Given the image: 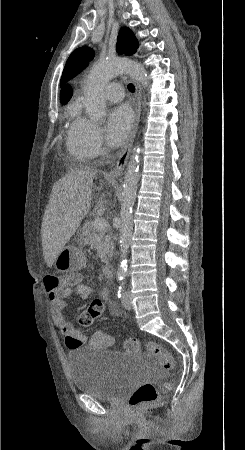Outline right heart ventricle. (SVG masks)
I'll list each match as a JSON object with an SVG mask.
<instances>
[{
	"label": "right heart ventricle",
	"mask_w": 245,
	"mask_h": 450,
	"mask_svg": "<svg viewBox=\"0 0 245 450\" xmlns=\"http://www.w3.org/2000/svg\"><path fill=\"white\" fill-rule=\"evenodd\" d=\"M70 117L72 118V122L70 125V128L68 130V134H67V138H66V146L68 148V150L78 156V157H82L79 153H77V151L75 150V143H76V135H75V123L77 121V119L80 117L78 115L77 109L76 108H72L69 112Z\"/></svg>",
	"instance_id": "e07e8e85"
}]
</instances>
